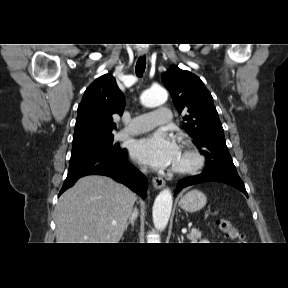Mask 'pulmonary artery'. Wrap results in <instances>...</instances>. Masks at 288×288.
Instances as JSON below:
<instances>
[{"mask_svg":"<svg viewBox=\"0 0 288 288\" xmlns=\"http://www.w3.org/2000/svg\"><path fill=\"white\" fill-rule=\"evenodd\" d=\"M171 111L168 108H158L153 112H147L138 115L131 124L123 129L118 136L134 135L149 131L160 125H167L171 121Z\"/></svg>","mask_w":288,"mask_h":288,"instance_id":"e3ab8cb5","label":"pulmonary artery"}]
</instances>
